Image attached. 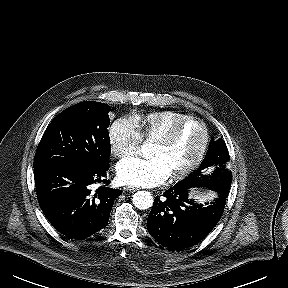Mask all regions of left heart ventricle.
Here are the masks:
<instances>
[{"label": "left heart ventricle", "instance_id": "obj_1", "mask_svg": "<svg viewBox=\"0 0 288 288\" xmlns=\"http://www.w3.org/2000/svg\"><path fill=\"white\" fill-rule=\"evenodd\" d=\"M202 142L203 130L201 126L195 122H190L179 131L170 144L164 145L154 142L151 155L163 158L170 174L178 173L196 158Z\"/></svg>", "mask_w": 288, "mask_h": 288}]
</instances>
